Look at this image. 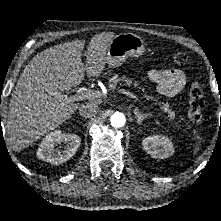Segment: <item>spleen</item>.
Instances as JSON below:
<instances>
[{
    "instance_id": "1",
    "label": "spleen",
    "mask_w": 221,
    "mask_h": 221,
    "mask_svg": "<svg viewBox=\"0 0 221 221\" xmlns=\"http://www.w3.org/2000/svg\"><path fill=\"white\" fill-rule=\"evenodd\" d=\"M196 139H197L198 141L201 140V138H200L199 136H197Z\"/></svg>"
}]
</instances>
